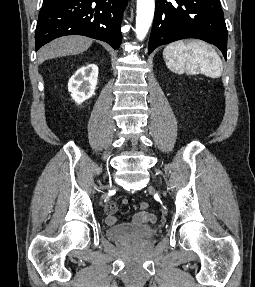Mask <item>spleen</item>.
I'll return each instance as SVG.
<instances>
[{"label":"spleen","mask_w":255,"mask_h":287,"mask_svg":"<svg viewBox=\"0 0 255 287\" xmlns=\"http://www.w3.org/2000/svg\"><path fill=\"white\" fill-rule=\"evenodd\" d=\"M163 58L172 72H184L185 66L190 70L199 68L210 78H220L223 72L218 54L201 40H180L168 44L163 50Z\"/></svg>","instance_id":"1"}]
</instances>
